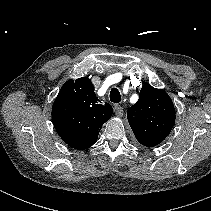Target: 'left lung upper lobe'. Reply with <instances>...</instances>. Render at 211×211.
Here are the masks:
<instances>
[{
	"label": "left lung upper lobe",
	"mask_w": 211,
	"mask_h": 211,
	"mask_svg": "<svg viewBox=\"0 0 211 211\" xmlns=\"http://www.w3.org/2000/svg\"><path fill=\"white\" fill-rule=\"evenodd\" d=\"M127 118L138 142L154 147L171 132L175 109L166 91L144 84L139 100L127 110Z\"/></svg>",
	"instance_id": "5c2ea615"
}]
</instances>
